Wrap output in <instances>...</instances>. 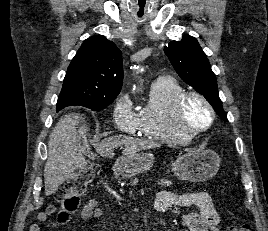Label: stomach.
I'll use <instances>...</instances> for the list:
<instances>
[{
  "label": "stomach",
  "mask_w": 268,
  "mask_h": 231,
  "mask_svg": "<svg viewBox=\"0 0 268 231\" xmlns=\"http://www.w3.org/2000/svg\"><path fill=\"white\" fill-rule=\"evenodd\" d=\"M151 153L123 154L115 162V168L123 178H131L149 171L154 165ZM172 172L181 180L204 182L219 170L220 158L212 150L189 151L172 162Z\"/></svg>",
  "instance_id": "1"
}]
</instances>
